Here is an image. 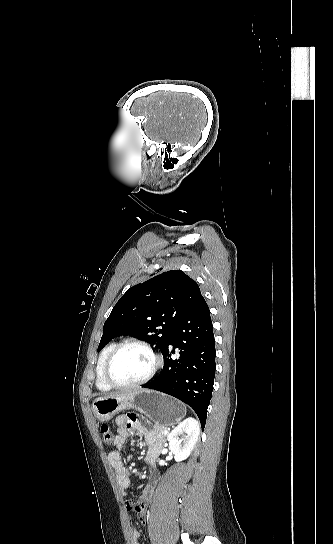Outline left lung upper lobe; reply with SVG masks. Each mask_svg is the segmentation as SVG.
Returning a JSON list of instances; mask_svg holds the SVG:
<instances>
[{"label": "left lung upper lobe", "mask_w": 333, "mask_h": 544, "mask_svg": "<svg viewBox=\"0 0 333 544\" xmlns=\"http://www.w3.org/2000/svg\"><path fill=\"white\" fill-rule=\"evenodd\" d=\"M201 296L198 284L180 270L129 288L104 323L98 352L124 334L145 338L163 352L178 322Z\"/></svg>", "instance_id": "1"}]
</instances>
